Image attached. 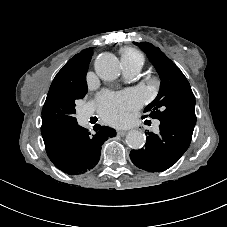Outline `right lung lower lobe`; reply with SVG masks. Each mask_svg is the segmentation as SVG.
Here are the masks:
<instances>
[{"label":"right lung lower lobe","mask_w":227,"mask_h":227,"mask_svg":"<svg viewBox=\"0 0 227 227\" xmlns=\"http://www.w3.org/2000/svg\"><path fill=\"white\" fill-rule=\"evenodd\" d=\"M94 133L78 124L56 132L44 140L51 162L69 175L83 174L93 169L100 159L101 146L116 131L107 126H94Z\"/></svg>","instance_id":"1"}]
</instances>
